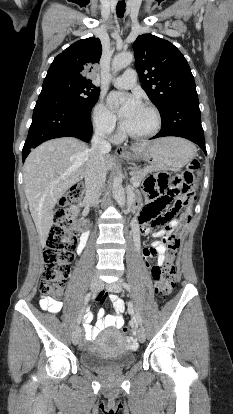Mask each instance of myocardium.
Wrapping results in <instances>:
<instances>
[{"instance_id":"obj_1","label":"myocardium","mask_w":233,"mask_h":414,"mask_svg":"<svg viewBox=\"0 0 233 414\" xmlns=\"http://www.w3.org/2000/svg\"><path fill=\"white\" fill-rule=\"evenodd\" d=\"M142 107L145 108V109L150 110L154 114L155 119H156V125H155V127H154V129L152 131H150V132H148L146 134H134V133L130 132L124 126V124L122 123L121 124V131H122V133L125 136H127V137H129L131 139H134V140H146V139H150V138L154 137L155 135H157L160 132L161 128H162V116H161V113L158 110V108H156L154 105H151V104H143Z\"/></svg>"}]
</instances>
